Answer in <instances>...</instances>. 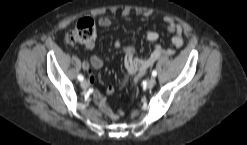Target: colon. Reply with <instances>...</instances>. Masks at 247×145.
Here are the masks:
<instances>
[{"instance_id": "5ec220e1", "label": "colon", "mask_w": 247, "mask_h": 145, "mask_svg": "<svg viewBox=\"0 0 247 145\" xmlns=\"http://www.w3.org/2000/svg\"><path fill=\"white\" fill-rule=\"evenodd\" d=\"M96 36V26L92 19L82 18L66 35L70 44H89ZM136 82L138 79L135 80Z\"/></svg>"}]
</instances>
